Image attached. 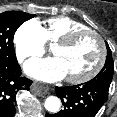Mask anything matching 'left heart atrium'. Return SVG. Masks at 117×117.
Segmentation results:
<instances>
[{"mask_svg":"<svg viewBox=\"0 0 117 117\" xmlns=\"http://www.w3.org/2000/svg\"><path fill=\"white\" fill-rule=\"evenodd\" d=\"M28 75L45 82H55L66 77V72L58 57L32 60L25 66Z\"/></svg>","mask_w":117,"mask_h":117,"instance_id":"left-heart-atrium-1","label":"left heart atrium"}]
</instances>
